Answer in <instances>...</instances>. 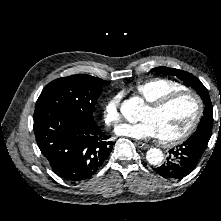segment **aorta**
Here are the masks:
<instances>
[{
	"mask_svg": "<svg viewBox=\"0 0 221 221\" xmlns=\"http://www.w3.org/2000/svg\"><path fill=\"white\" fill-rule=\"evenodd\" d=\"M140 108L141 103L138 100H126L121 105V113L129 122H134L137 119ZM146 159L151 165L157 166L162 163L164 154L158 148H150L146 153Z\"/></svg>",
	"mask_w": 221,
	"mask_h": 221,
	"instance_id": "762f6f07",
	"label": "aorta"
}]
</instances>
